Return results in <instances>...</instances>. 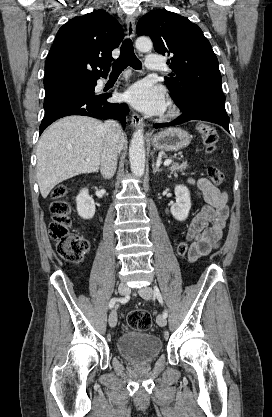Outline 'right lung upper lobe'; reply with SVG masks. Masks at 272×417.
I'll use <instances>...</instances> for the list:
<instances>
[{
    "instance_id": "right-lung-upper-lobe-1",
    "label": "right lung upper lobe",
    "mask_w": 272,
    "mask_h": 417,
    "mask_svg": "<svg viewBox=\"0 0 272 417\" xmlns=\"http://www.w3.org/2000/svg\"><path fill=\"white\" fill-rule=\"evenodd\" d=\"M124 37L121 25L103 10L75 17L56 34L45 64V89L85 84L104 77L111 52Z\"/></svg>"
}]
</instances>
